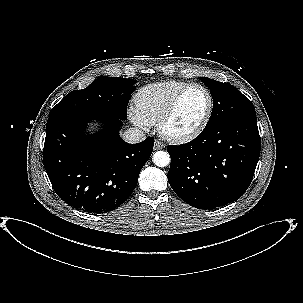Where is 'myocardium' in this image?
Segmentation results:
<instances>
[{
	"label": "myocardium",
	"mask_w": 303,
	"mask_h": 303,
	"mask_svg": "<svg viewBox=\"0 0 303 303\" xmlns=\"http://www.w3.org/2000/svg\"><path fill=\"white\" fill-rule=\"evenodd\" d=\"M193 88H200L203 90L207 96L208 100V106L205 111L204 116L202 117L201 121L198 123L196 127H194L192 130L181 133V134H174L167 131V124L171 120V118L174 116L175 112L177 111L183 97L186 95V93L193 89ZM214 108V102L211 92L207 87H205L202 84L199 83H190L186 87H184L171 101V103L168 105V107L165 109V111L161 114L158 122H157V129L160 135L165 138L166 140L177 143V144H183L192 141L196 137H198L206 128L208 125L210 118L213 113Z\"/></svg>",
	"instance_id": "obj_1"
}]
</instances>
